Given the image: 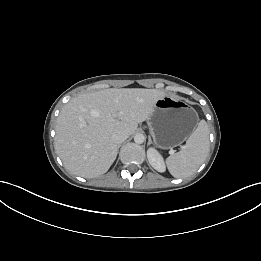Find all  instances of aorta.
Returning <instances> with one entry per match:
<instances>
[{"instance_id": "1", "label": "aorta", "mask_w": 261, "mask_h": 261, "mask_svg": "<svg viewBox=\"0 0 261 261\" xmlns=\"http://www.w3.org/2000/svg\"><path fill=\"white\" fill-rule=\"evenodd\" d=\"M134 141L137 144H142L145 141V136L141 133H138L134 136Z\"/></svg>"}]
</instances>
